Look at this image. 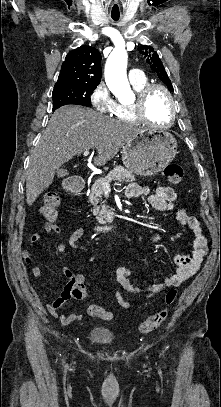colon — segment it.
Instances as JSON below:
<instances>
[{"instance_id": "obj_1", "label": "colon", "mask_w": 221, "mask_h": 407, "mask_svg": "<svg viewBox=\"0 0 221 407\" xmlns=\"http://www.w3.org/2000/svg\"><path fill=\"white\" fill-rule=\"evenodd\" d=\"M184 171L179 163L171 162L167 164L163 170L164 178L173 184H178L182 181ZM60 203V196L55 191H46L44 193L43 204H42V214L45 218V229L55 233L58 229L57 224V214L58 207ZM68 290L71 291L72 295L79 300H86L87 295L85 293L84 284L80 282H74L69 285ZM177 292L174 288H170L165 293L164 302L167 307L157 311L153 315L149 316L144 322L140 323L138 326V332L147 334L158 328L162 323H164L169 316L168 307L171 306L176 299ZM90 315L98 317L103 320H110L112 314L110 311L100 308L97 305H91L88 308Z\"/></svg>"}]
</instances>
